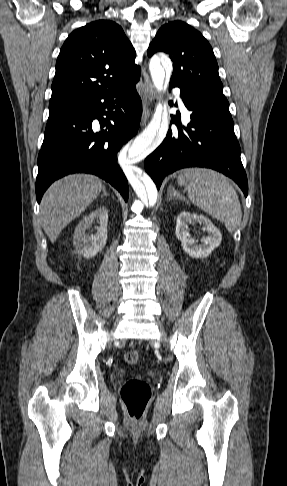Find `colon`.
Here are the masks:
<instances>
[{
  "mask_svg": "<svg viewBox=\"0 0 287 486\" xmlns=\"http://www.w3.org/2000/svg\"><path fill=\"white\" fill-rule=\"evenodd\" d=\"M124 359L128 364H136L140 355L135 350L125 353ZM151 397L149 384L138 377H133L125 381L121 389V399L128 416L133 421L141 419Z\"/></svg>",
  "mask_w": 287,
  "mask_h": 486,
  "instance_id": "5ec220e1",
  "label": "colon"
}]
</instances>
